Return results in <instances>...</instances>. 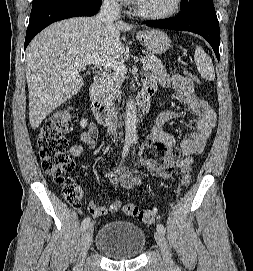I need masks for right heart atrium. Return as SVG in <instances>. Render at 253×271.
Segmentation results:
<instances>
[{
	"mask_svg": "<svg viewBox=\"0 0 253 271\" xmlns=\"http://www.w3.org/2000/svg\"><path fill=\"white\" fill-rule=\"evenodd\" d=\"M112 5L123 7L128 4L129 0H107Z\"/></svg>",
	"mask_w": 253,
	"mask_h": 271,
	"instance_id": "obj_1",
	"label": "right heart atrium"
}]
</instances>
